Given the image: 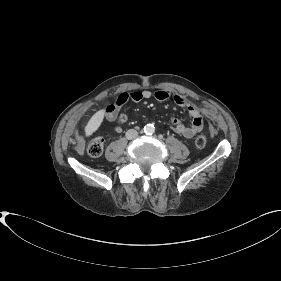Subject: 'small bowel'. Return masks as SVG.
I'll return each instance as SVG.
<instances>
[{
	"label": "small bowel",
	"instance_id": "1",
	"mask_svg": "<svg viewBox=\"0 0 281 281\" xmlns=\"http://www.w3.org/2000/svg\"><path fill=\"white\" fill-rule=\"evenodd\" d=\"M154 97L158 101H166L172 98L173 102L183 108H186L192 117V122L189 125L184 124L176 117L171 118L172 129L179 135L185 138H192L197 133L201 132L204 127V119L201 108L194 102L188 100L185 96L175 93L171 94L166 89H158L155 92L150 90H138L133 92H123L117 97L115 103L110 104L106 108V118L109 121H114L119 113V110L128 102H140L145 99Z\"/></svg>",
	"mask_w": 281,
	"mask_h": 281
}]
</instances>
